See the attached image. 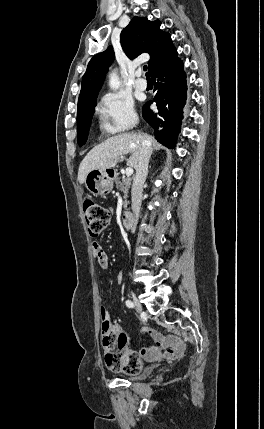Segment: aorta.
<instances>
[{
    "instance_id": "1",
    "label": "aorta",
    "mask_w": 264,
    "mask_h": 429,
    "mask_svg": "<svg viewBox=\"0 0 264 429\" xmlns=\"http://www.w3.org/2000/svg\"><path fill=\"white\" fill-rule=\"evenodd\" d=\"M120 80H119V76L115 73L112 72L109 76V86L112 90H116L120 87Z\"/></svg>"
}]
</instances>
